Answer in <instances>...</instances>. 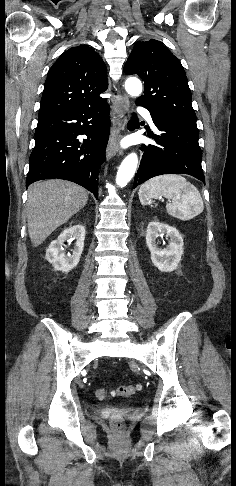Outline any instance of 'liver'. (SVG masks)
Returning <instances> with one entry per match:
<instances>
[{
    "label": "liver",
    "instance_id": "liver-1",
    "mask_svg": "<svg viewBox=\"0 0 236 486\" xmlns=\"http://www.w3.org/2000/svg\"><path fill=\"white\" fill-rule=\"evenodd\" d=\"M87 201V191L69 181L53 179L30 185L26 215L33 246L41 245L57 227L80 211Z\"/></svg>",
    "mask_w": 236,
    "mask_h": 486
}]
</instances>
